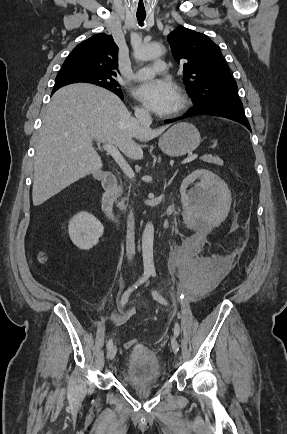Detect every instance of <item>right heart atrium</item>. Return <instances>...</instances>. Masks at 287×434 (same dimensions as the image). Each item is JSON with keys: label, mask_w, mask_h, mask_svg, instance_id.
<instances>
[{"label": "right heart atrium", "mask_w": 287, "mask_h": 434, "mask_svg": "<svg viewBox=\"0 0 287 434\" xmlns=\"http://www.w3.org/2000/svg\"><path fill=\"white\" fill-rule=\"evenodd\" d=\"M137 111H138L139 113H141V114L146 113V109H145L144 107H138V108H137Z\"/></svg>", "instance_id": "obj_1"}]
</instances>
